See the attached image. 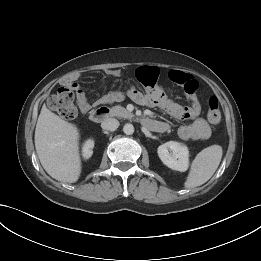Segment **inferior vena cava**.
Returning <instances> with one entry per match:
<instances>
[{
    "instance_id": "602c4592",
    "label": "inferior vena cava",
    "mask_w": 261,
    "mask_h": 261,
    "mask_svg": "<svg viewBox=\"0 0 261 261\" xmlns=\"http://www.w3.org/2000/svg\"><path fill=\"white\" fill-rule=\"evenodd\" d=\"M104 130L115 131L119 127V121L115 118H107L101 123Z\"/></svg>"
}]
</instances>
